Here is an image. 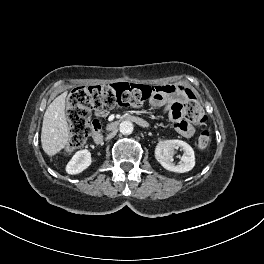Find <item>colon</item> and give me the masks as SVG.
Masks as SVG:
<instances>
[{
	"mask_svg": "<svg viewBox=\"0 0 264 264\" xmlns=\"http://www.w3.org/2000/svg\"><path fill=\"white\" fill-rule=\"evenodd\" d=\"M185 97L182 112L189 123L205 124L207 118L196 95L190 90L178 87ZM173 88L148 86L126 82L107 85L79 86L71 90L67 100V116L70 124L69 151L82 147L93 131L100 127L98 120H91V112L103 113L116 107H139L147 100L158 97ZM210 143L209 132L203 130L197 145L205 149Z\"/></svg>",
	"mask_w": 264,
	"mask_h": 264,
	"instance_id": "colon-1",
	"label": "colon"
}]
</instances>
